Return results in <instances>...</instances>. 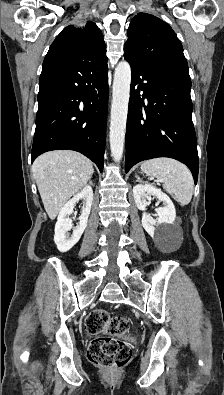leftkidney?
Here are the masks:
<instances>
[{
	"mask_svg": "<svg viewBox=\"0 0 224 395\" xmlns=\"http://www.w3.org/2000/svg\"><path fill=\"white\" fill-rule=\"evenodd\" d=\"M133 196L139 210L143 211L142 226L152 238H165L168 234L169 226L172 225L176 218V210L170 197L160 189L151 184H137L133 187ZM149 196L156 197L162 201L164 206L157 209V219L148 215L146 207Z\"/></svg>",
	"mask_w": 224,
	"mask_h": 395,
	"instance_id": "5707ae66",
	"label": "left kidney"
}]
</instances>
